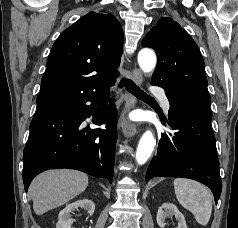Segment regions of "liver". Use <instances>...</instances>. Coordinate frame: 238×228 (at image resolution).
Listing matches in <instances>:
<instances>
[{
    "mask_svg": "<svg viewBox=\"0 0 238 228\" xmlns=\"http://www.w3.org/2000/svg\"><path fill=\"white\" fill-rule=\"evenodd\" d=\"M88 176L76 170H52L38 175L29 187L33 209L37 215L57 208L82 193Z\"/></svg>",
    "mask_w": 238,
    "mask_h": 228,
    "instance_id": "6515ba94",
    "label": "liver"
}]
</instances>
